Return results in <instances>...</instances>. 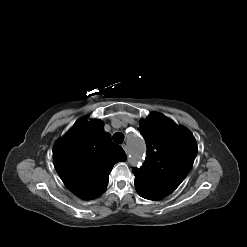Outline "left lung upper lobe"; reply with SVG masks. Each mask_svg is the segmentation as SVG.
Segmentation results:
<instances>
[{
	"instance_id": "left-lung-upper-lobe-1",
	"label": "left lung upper lobe",
	"mask_w": 247,
	"mask_h": 247,
	"mask_svg": "<svg viewBox=\"0 0 247 247\" xmlns=\"http://www.w3.org/2000/svg\"><path fill=\"white\" fill-rule=\"evenodd\" d=\"M139 131L147 157L140 169H133L135 184L162 199L190 172L198 151L196 140L189 130L156 112L141 121Z\"/></svg>"
}]
</instances>
